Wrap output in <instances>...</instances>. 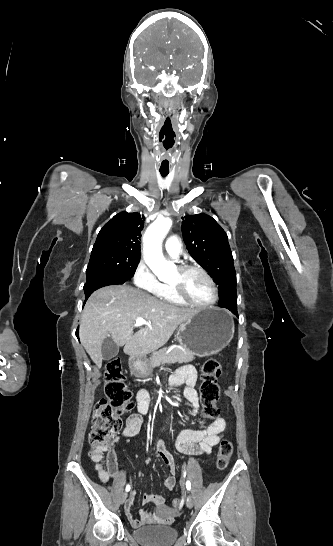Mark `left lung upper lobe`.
I'll list each match as a JSON object with an SVG mask.
<instances>
[{"instance_id": "5c2ea615", "label": "left lung upper lobe", "mask_w": 333, "mask_h": 546, "mask_svg": "<svg viewBox=\"0 0 333 546\" xmlns=\"http://www.w3.org/2000/svg\"><path fill=\"white\" fill-rule=\"evenodd\" d=\"M182 232L188 252L219 288V305L237 302L236 272L226 232L209 215H187Z\"/></svg>"}]
</instances>
